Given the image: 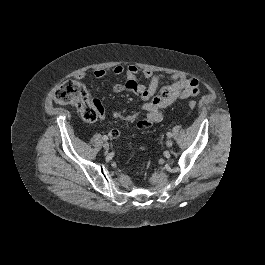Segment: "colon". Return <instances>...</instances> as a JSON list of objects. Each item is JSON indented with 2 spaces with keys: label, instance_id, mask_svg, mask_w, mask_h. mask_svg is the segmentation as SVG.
I'll list each match as a JSON object with an SVG mask.
<instances>
[{
  "label": "colon",
  "instance_id": "obj_1",
  "mask_svg": "<svg viewBox=\"0 0 265 265\" xmlns=\"http://www.w3.org/2000/svg\"><path fill=\"white\" fill-rule=\"evenodd\" d=\"M54 99L59 104L75 106L88 122L96 121L102 114L99 103L90 99L86 88L77 81L69 80L58 86L54 91ZM188 106L193 109L196 102L190 101Z\"/></svg>",
  "mask_w": 265,
  "mask_h": 265
}]
</instances>
